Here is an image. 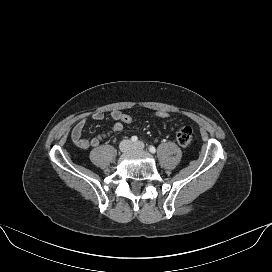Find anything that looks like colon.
Masks as SVG:
<instances>
[{
	"label": "colon",
	"instance_id": "1",
	"mask_svg": "<svg viewBox=\"0 0 272 272\" xmlns=\"http://www.w3.org/2000/svg\"><path fill=\"white\" fill-rule=\"evenodd\" d=\"M156 117L159 119H167L169 117V113L166 111H158L156 112ZM120 121L123 124H129L132 122V117L128 114L121 113ZM192 137L193 131L189 126L182 127L176 134V140L182 147H187L190 144Z\"/></svg>",
	"mask_w": 272,
	"mask_h": 272
}]
</instances>
